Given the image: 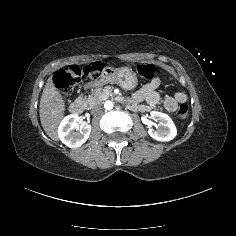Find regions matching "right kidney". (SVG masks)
<instances>
[{"instance_id": "ca27d5eb", "label": "right kidney", "mask_w": 236, "mask_h": 236, "mask_svg": "<svg viewBox=\"0 0 236 236\" xmlns=\"http://www.w3.org/2000/svg\"><path fill=\"white\" fill-rule=\"evenodd\" d=\"M77 119V115H70L62 121L59 127L60 139L70 148L81 147L88 140L92 130L91 125H81Z\"/></svg>"}]
</instances>
